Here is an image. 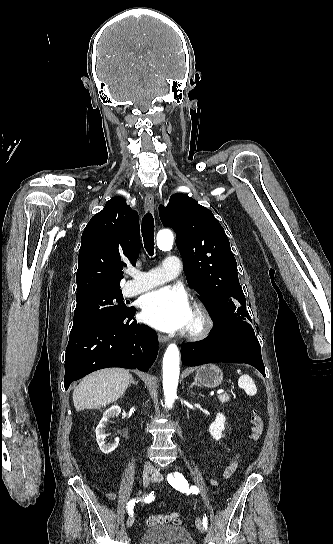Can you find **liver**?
Masks as SVG:
<instances>
[{
  "mask_svg": "<svg viewBox=\"0 0 333 544\" xmlns=\"http://www.w3.org/2000/svg\"><path fill=\"white\" fill-rule=\"evenodd\" d=\"M131 375L121 368H108L83 378L73 391L77 411L100 408L119 399L130 383Z\"/></svg>",
  "mask_w": 333,
  "mask_h": 544,
  "instance_id": "6515ba94",
  "label": "liver"
}]
</instances>
